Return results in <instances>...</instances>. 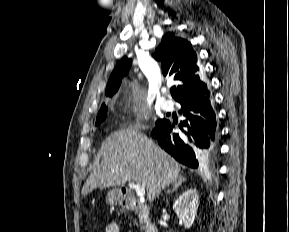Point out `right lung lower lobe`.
I'll return each mask as SVG.
<instances>
[{
  "label": "right lung lower lobe",
  "instance_id": "obj_1",
  "mask_svg": "<svg viewBox=\"0 0 289 232\" xmlns=\"http://www.w3.org/2000/svg\"><path fill=\"white\" fill-rule=\"evenodd\" d=\"M187 118L181 122L183 133L173 132V125L163 120L151 132L159 145L177 161L198 168L215 161L218 154L219 126L210 99V92L179 101ZM181 127V126H180Z\"/></svg>",
  "mask_w": 289,
  "mask_h": 232
}]
</instances>
